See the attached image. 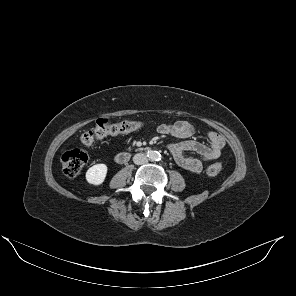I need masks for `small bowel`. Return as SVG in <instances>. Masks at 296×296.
<instances>
[{
  "instance_id": "small-bowel-1",
  "label": "small bowel",
  "mask_w": 296,
  "mask_h": 296,
  "mask_svg": "<svg viewBox=\"0 0 296 296\" xmlns=\"http://www.w3.org/2000/svg\"><path fill=\"white\" fill-rule=\"evenodd\" d=\"M157 132L183 139L181 142L170 144L168 149L174 162L191 173L201 172L204 163L218 159L224 147L223 138L215 132L207 133L208 145L192 139L196 130L186 120L160 124ZM188 152L194 154H188Z\"/></svg>"
}]
</instances>
